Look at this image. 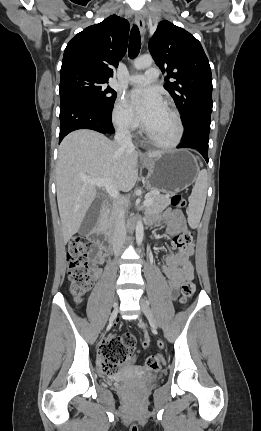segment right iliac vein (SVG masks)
<instances>
[{
    "mask_svg": "<svg viewBox=\"0 0 261 431\" xmlns=\"http://www.w3.org/2000/svg\"><path fill=\"white\" fill-rule=\"evenodd\" d=\"M117 312H118V303H116L115 306H114V310H113V312L111 314V319H114L116 317Z\"/></svg>",
    "mask_w": 261,
    "mask_h": 431,
    "instance_id": "1",
    "label": "right iliac vein"
}]
</instances>
